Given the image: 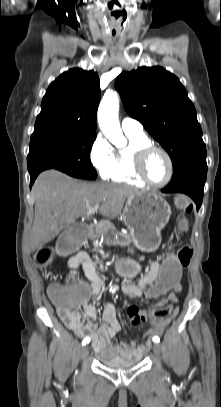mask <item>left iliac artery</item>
I'll return each instance as SVG.
<instances>
[{
    "instance_id": "obj_1",
    "label": "left iliac artery",
    "mask_w": 221,
    "mask_h": 407,
    "mask_svg": "<svg viewBox=\"0 0 221 407\" xmlns=\"http://www.w3.org/2000/svg\"><path fill=\"white\" fill-rule=\"evenodd\" d=\"M159 341H160L159 337H154L153 338V342H159Z\"/></svg>"
}]
</instances>
